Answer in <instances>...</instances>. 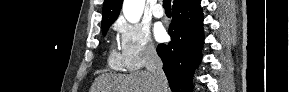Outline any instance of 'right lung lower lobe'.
Segmentation results:
<instances>
[{
    "mask_svg": "<svg viewBox=\"0 0 289 92\" xmlns=\"http://www.w3.org/2000/svg\"><path fill=\"white\" fill-rule=\"evenodd\" d=\"M169 44H159L157 53L172 92H192V75L199 64L204 41L200 0L172 7Z\"/></svg>",
    "mask_w": 289,
    "mask_h": 92,
    "instance_id": "98d812e1",
    "label": "right lung lower lobe"
}]
</instances>
